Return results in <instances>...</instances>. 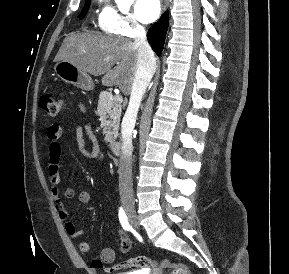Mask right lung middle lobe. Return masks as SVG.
Returning <instances> with one entry per match:
<instances>
[{"mask_svg":"<svg viewBox=\"0 0 289 274\" xmlns=\"http://www.w3.org/2000/svg\"><path fill=\"white\" fill-rule=\"evenodd\" d=\"M89 6H90V0H86L85 6H84L81 14L79 15V17H80L81 19H83V18L85 17V15L87 14V11H88V9H89Z\"/></svg>","mask_w":289,"mask_h":274,"instance_id":"dd1d6c3e","label":"right lung middle lobe"}]
</instances>
